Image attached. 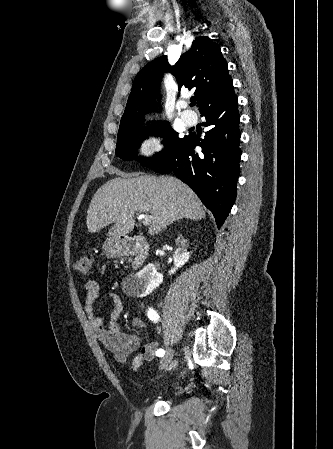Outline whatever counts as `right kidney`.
<instances>
[{
  "instance_id": "right-kidney-1",
  "label": "right kidney",
  "mask_w": 333,
  "mask_h": 449,
  "mask_svg": "<svg viewBox=\"0 0 333 449\" xmlns=\"http://www.w3.org/2000/svg\"><path fill=\"white\" fill-rule=\"evenodd\" d=\"M190 257V253L186 250V245L179 246L174 255V268L169 271V275L174 274L178 268L182 267ZM163 282V275L157 272L154 264H148L140 272L135 275L136 294L144 297L151 293Z\"/></svg>"
}]
</instances>
